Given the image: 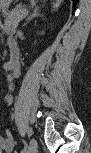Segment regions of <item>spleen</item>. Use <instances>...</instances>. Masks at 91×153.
<instances>
[{"label":"spleen","mask_w":91,"mask_h":153,"mask_svg":"<svg viewBox=\"0 0 91 153\" xmlns=\"http://www.w3.org/2000/svg\"><path fill=\"white\" fill-rule=\"evenodd\" d=\"M61 1H57L56 3L53 4V9H58V7L60 6Z\"/></svg>","instance_id":"3e777b00"}]
</instances>
